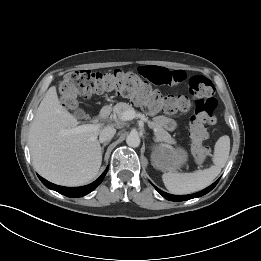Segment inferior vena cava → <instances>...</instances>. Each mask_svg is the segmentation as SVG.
<instances>
[{
  "label": "inferior vena cava",
  "instance_id": "obj_1",
  "mask_svg": "<svg viewBox=\"0 0 261 261\" xmlns=\"http://www.w3.org/2000/svg\"><path fill=\"white\" fill-rule=\"evenodd\" d=\"M116 133V129L110 126L103 128L99 134V141L101 143L109 142Z\"/></svg>",
  "mask_w": 261,
  "mask_h": 261
}]
</instances>
